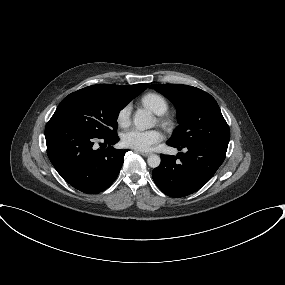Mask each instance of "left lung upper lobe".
<instances>
[{
    "instance_id": "1",
    "label": "left lung upper lobe",
    "mask_w": 285,
    "mask_h": 285,
    "mask_svg": "<svg viewBox=\"0 0 285 285\" xmlns=\"http://www.w3.org/2000/svg\"><path fill=\"white\" fill-rule=\"evenodd\" d=\"M150 88L168 98L178 111L180 126L168 143L182 147L199 142L228 146L229 127L210 94L187 85L153 84Z\"/></svg>"
}]
</instances>
